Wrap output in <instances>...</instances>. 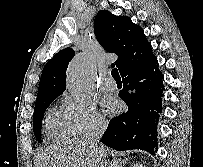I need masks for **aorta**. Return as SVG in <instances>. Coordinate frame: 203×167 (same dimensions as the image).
<instances>
[{
    "label": "aorta",
    "instance_id": "1",
    "mask_svg": "<svg viewBox=\"0 0 203 167\" xmlns=\"http://www.w3.org/2000/svg\"><path fill=\"white\" fill-rule=\"evenodd\" d=\"M93 62L89 55L76 56L67 69V88L78 99H86L91 93Z\"/></svg>",
    "mask_w": 203,
    "mask_h": 167
}]
</instances>
